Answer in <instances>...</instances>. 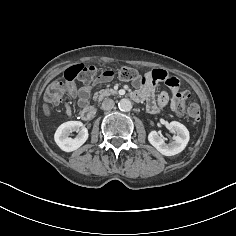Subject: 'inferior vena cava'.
Returning a JSON list of instances; mask_svg holds the SVG:
<instances>
[{
    "mask_svg": "<svg viewBox=\"0 0 236 236\" xmlns=\"http://www.w3.org/2000/svg\"><path fill=\"white\" fill-rule=\"evenodd\" d=\"M115 103L112 99H105L103 102H102V109L103 110H111L113 109Z\"/></svg>",
    "mask_w": 236,
    "mask_h": 236,
    "instance_id": "inferior-vena-cava-1",
    "label": "inferior vena cava"
}]
</instances>
